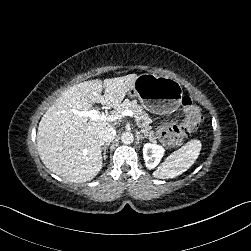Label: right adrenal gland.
<instances>
[{"mask_svg":"<svg viewBox=\"0 0 251 251\" xmlns=\"http://www.w3.org/2000/svg\"><path fill=\"white\" fill-rule=\"evenodd\" d=\"M110 145V143H106L102 148H101V152H102V155H103V160H106L107 159V149H108V146Z\"/></svg>","mask_w":251,"mask_h":251,"instance_id":"right-adrenal-gland-1","label":"right adrenal gland"}]
</instances>
